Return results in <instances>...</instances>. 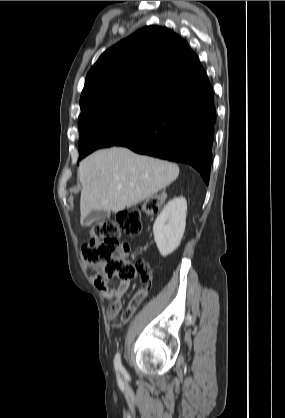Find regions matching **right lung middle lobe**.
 Here are the masks:
<instances>
[{
  "mask_svg": "<svg viewBox=\"0 0 285 418\" xmlns=\"http://www.w3.org/2000/svg\"><path fill=\"white\" fill-rule=\"evenodd\" d=\"M165 105L139 100L109 105L78 120L79 161L91 152L117 145L152 123Z\"/></svg>",
  "mask_w": 285,
  "mask_h": 418,
  "instance_id": "1",
  "label": "right lung middle lobe"
}]
</instances>
